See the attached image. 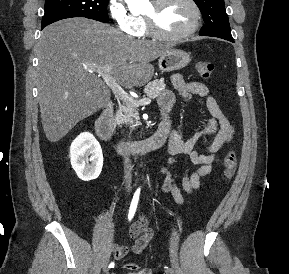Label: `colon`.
<instances>
[{
  "mask_svg": "<svg viewBox=\"0 0 289 274\" xmlns=\"http://www.w3.org/2000/svg\"><path fill=\"white\" fill-rule=\"evenodd\" d=\"M196 71L201 78L208 79L214 71V64L209 60H202L196 63ZM237 168V155L235 151L230 150L223 159L224 176L227 180L231 179ZM125 269L136 271L139 267L136 263L129 262L125 264Z\"/></svg>",
  "mask_w": 289,
  "mask_h": 274,
  "instance_id": "1",
  "label": "colon"
}]
</instances>
